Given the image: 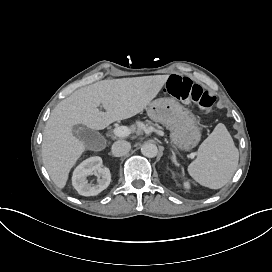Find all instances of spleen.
Listing matches in <instances>:
<instances>
[{
  "label": "spleen",
  "mask_w": 272,
  "mask_h": 272,
  "mask_svg": "<svg viewBox=\"0 0 272 272\" xmlns=\"http://www.w3.org/2000/svg\"><path fill=\"white\" fill-rule=\"evenodd\" d=\"M238 161L239 151L225 125L219 123L199 146L188 172L200 185L219 189L232 178Z\"/></svg>",
  "instance_id": "3e777b00"
}]
</instances>
